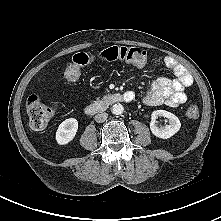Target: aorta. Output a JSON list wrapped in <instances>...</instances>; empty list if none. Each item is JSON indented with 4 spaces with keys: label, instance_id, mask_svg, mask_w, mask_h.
Masks as SVG:
<instances>
[{
    "label": "aorta",
    "instance_id": "obj_1",
    "mask_svg": "<svg viewBox=\"0 0 221 221\" xmlns=\"http://www.w3.org/2000/svg\"><path fill=\"white\" fill-rule=\"evenodd\" d=\"M111 112L114 115H121L124 112V107L120 103H116L111 107Z\"/></svg>",
    "mask_w": 221,
    "mask_h": 221
}]
</instances>
